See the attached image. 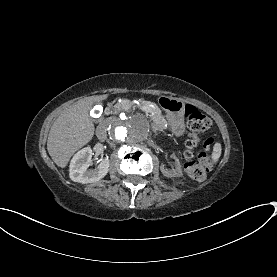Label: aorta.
I'll use <instances>...</instances> for the list:
<instances>
[{
  "mask_svg": "<svg viewBox=\"0 0 277 277\" xmlns=\"http://www.w3.org/2000/svg\"><path fill=\"white\" fill-rule=\"evenodd\" d=\"M108 130L110 139L122 146L141 144L151 134L150 123L142 114L120 115L111 121Z\"/></svg>",
  "mask_w": 277,
  "mask_h": 277,
  "instance_id": "aorta-1",
  "label": "aorta"
}]
</instances>
